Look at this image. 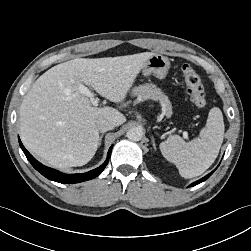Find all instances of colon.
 Returning a JSON list of instances; mask_svg holds the SVG:
<instances>
[{
    "mask_svg": "<svg viewBox=\"0 0 251 251\" xmlns=\"http://www.w3.org/2000/svg\"><path fill=\"white\" fill-rule=\"evenodd\" d=\"M182 75L191 101L198 107L206 106V94L197 72L192 66L185 64L182 66Z\"/></svg>",
    "mask_w": 251,
    "mask_h": 251,
    "instance_id": "obj_1",
    "label": "colon"
}]
</instances>
